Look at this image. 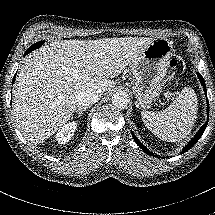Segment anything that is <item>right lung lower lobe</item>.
I'll use <instances>...</instances> for the list:
<instances>
[{"label": "right lung lower lobe", "instance_id": "right-lung-lower-lobe-1", "mask_svg": "<svg viewBox=\"0 0 215 215\" xmlns=\"http://www.w3.org/2000/svg\"><path fill=\"white\" fill-rule=\"evenodd\" d=\"M30 53V52H29ZM28 54V51H26L25 52V55L24 56H26ZM15 76H16V74H15ZM15 76H14V78H13V83H14V81H15Z\"/></svg>", "mask_w": 215, "mask_h": 215}]
</instances>
